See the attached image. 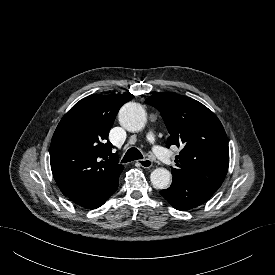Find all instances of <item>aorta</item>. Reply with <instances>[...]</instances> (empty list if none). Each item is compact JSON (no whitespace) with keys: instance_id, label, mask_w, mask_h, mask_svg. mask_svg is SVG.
Masks as SVG:
<instances>
[{"instance_id":"1","label":"aorta","mask_w":275,"mask_h":275,"mask_svg":"<svg viewBox=\"0 0 275 275\" xmlns=\"http://www.w3.org/2000/svg\"><path fill=\"white\" fill-rule=\"evenodd\" d=\"M119 122L127 131L138 132L145 127L146 112L139 103L128 102L119 111ZM150 180L154 187L166 189L171 182V173L165 168H156L151 172Z\"/></svg>"}]
</instances>
